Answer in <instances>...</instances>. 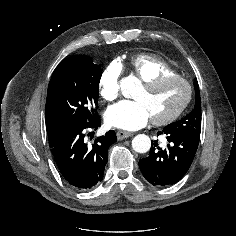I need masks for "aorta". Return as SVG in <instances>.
I'll use <instances>...</instances> for the list:
<instances>
[{
    "label": "aorta",
    "mask_w": 236,
    "mask_h": 236,
    "mask_svg": "<svg viewBox=\"0 0 236 236\" xmlns=\"http://www.w3.org/2000/svg\"><path fill=\"white\" fill-rule=\"evenodd\" d=\"M126 85L127 82H123L122 84L123 92H125ZM150 147H151V140L145 134L136 135L132 140V148L134 151L138 153H146L150 150Z\"/></svg>",
    "instance_id": "aorta-1"
}]
</instances>
